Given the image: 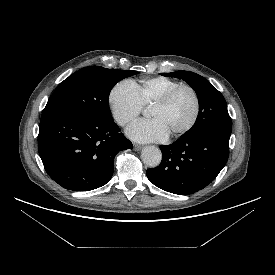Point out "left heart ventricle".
Returning <instances> with one entry per match:
<instances>
[{
    "instance_id": "left-heart-ventricle-1",
    "label": "left heart ventricle",
    "mask_w": 275,
    "mask_h": 275,
    "mask_svg": "<svg viewBox=\"0 0 275 275\" xmlns=\"http://www.w3.org/2000/svg\"><path fill=\"white\" fill-rule=\"evenodd\" d=\"M195 110L194 98L190 91L183 89L164 108L152 107L149 115L157 119L169 135L185 127L191 120Z\"/></svg>"
}]
</instances>
